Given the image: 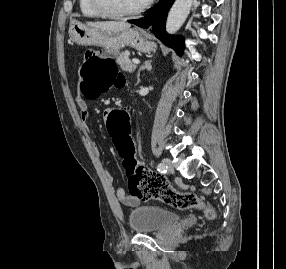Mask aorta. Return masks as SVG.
Instances as JSON below:
<instances>
[{
	"mask_svg": "<svg viewBox=\"0 0 286 269\" xmlns=\"http://www.w3.org/2000/svg\"><path fill=\"white\" fill-rule=\"evenodd\" d=\"M192 2L193 0H175L166 21V31L169 34H174L181 28L190 13Z\"/></svg>",
	"mask_w": 286,
	"mask_h": 269,
	"instance_id": "1",
	"label": "aorta"
}]
</instances>
